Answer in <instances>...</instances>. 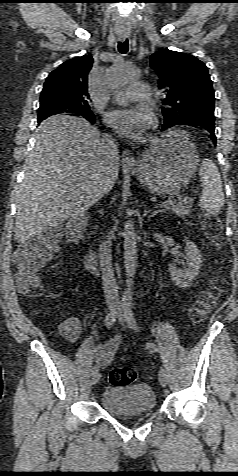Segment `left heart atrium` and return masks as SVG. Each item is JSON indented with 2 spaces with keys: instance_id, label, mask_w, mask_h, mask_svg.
I'll list each match as a JSON object with an SVG mask.
<instances>
[{
  "instance_id": "39dd6f15",
  "label": "left heart atrium",
  "mask_w": 238,
  "mask_h": 476,
  "mask_svg": "<svg viewBox=\"0 0 238 476\" xmlns=\"http://www.w3.org/2000/svg\"><path fill=\"white\" fill-rule=\"evenodd\" d=\"M106 122L120 134L139 139L152 125L153 116L145 106L128 107L109 112Z\"/></svg>"
}]
</instances>
